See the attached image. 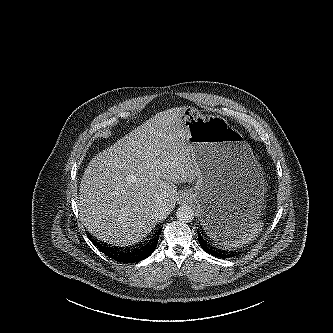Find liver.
Here are the masks:
<instances>
[{
	"instance_id": "1",
	"label": "liver",
	"mask_w": 333,
	"mask_h": 333,
	"mask_svg": "<svg viewBox=\"0 0 333 333\" xmlns=\"http://www.w3.org/2000/svg\"><path fill=\"white\" fill-rule=\"evenodd\" d=\"M182 115L181 108L159 112L92 158L78 210L95 237L121 247L142 241L173 210L176 184L197 177Z\"/></svg>"
}]
</instances>
